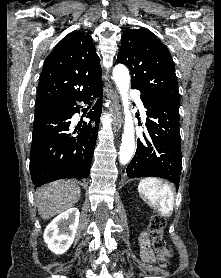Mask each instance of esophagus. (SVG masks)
Instances as JSON below:
<instances>
[{
  "label": "esophagus",
  "mask_w": 221,
  "mask_h": 278,
  "mask_svg": "<svg viewBox=\"0 0 221 278\" xmlns=\"http://www.w3.org/2000/svg\"><path fill=\"white\" fill-rule=\"evenodd\" d=\"M110 96L113 100V109H112V116L114 120V128L119 130L123 125V118L121 115L120 104H119V97L116 91H110Z\"/></svg>",
  "instance_id": "esophagus-1"
}]
</instances>
